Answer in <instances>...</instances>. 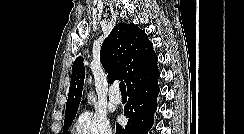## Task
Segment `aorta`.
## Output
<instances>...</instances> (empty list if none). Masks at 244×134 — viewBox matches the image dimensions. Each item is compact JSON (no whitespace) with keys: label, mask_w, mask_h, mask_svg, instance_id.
I'll return each instance as SVG.
<instances>
[{"label":"aorta","mask_w":244,"mask_h":134,"mask_svg":"<svg viewBox=\"0 0 244 134\" xmlns=\"http://www.w3.org/2000/svg\"><path fill=\"white\" fill-rule=\"evenodd\" d=\"M88 98L93 101L94 100V95L93 94H89Z\"/></svg>","instance_id":"obj_1"}]
</instances>
